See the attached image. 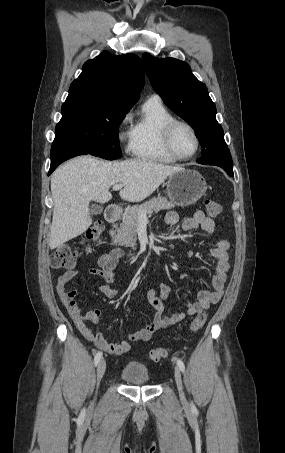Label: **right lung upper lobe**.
I'll use <instances>...</instances> for the list:
<instances>
[{
  "instance_id": "cb5924a9",
  "label": "right lung upper lobe",
  "mask_w": 285,
  "mask_h": 453,
  "mask_svg": "<svg viewBox=\"0 0 285 453\" xmlns=\"http://www.w3.org/2000/svg\"><path fill=\"white\" fill-rule=\"evenodd\" d=\"M144 85L142 60L134 54L115 56L102 52L85 62L71 83L65 103H93L129 109Z\"/></svg>"
}]
</instances>
